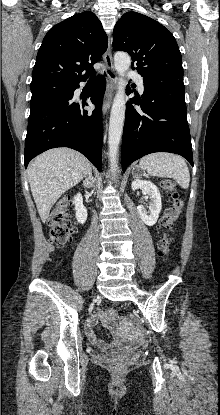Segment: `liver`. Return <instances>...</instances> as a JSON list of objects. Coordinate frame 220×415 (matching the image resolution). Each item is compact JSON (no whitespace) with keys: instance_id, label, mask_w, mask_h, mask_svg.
<instances>
[{"instance_id":"obj_1","label":"liver","mask_w":220,"mask_h":415,"mask_svg":"<svg viewBox=\"0 0 220 415\" xmlns=\"http://www.w3.org/2000/svg\"><path fill=\"white\" fill-rule=\"evenodd\" d=\"M91 169L86 157L65 147L48 150L31 162L28 181L42 222L61 195L89 176Z\"/></svg>"}]
</instances>
